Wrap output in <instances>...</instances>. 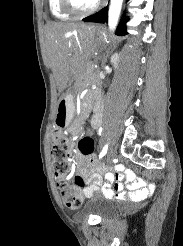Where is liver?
Masks as SVG:
<instances>
[{
	"label": "liver",
	"instance_id": "obj_1",
	"mask_svg": "<svg viewBox=\"0 0 183 246\" xmlns=\"http://www.w3.org/2000/svg\"><path fill=\"white\" fill-rule=\"evenodd\" d=\"M94 33V27L86 24L55 22L47 26V53L59 92L88 65Z\"/></svg>",
	"mask_w": 183,
	"mask_h": 246
}]
</instances>
